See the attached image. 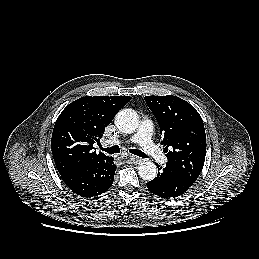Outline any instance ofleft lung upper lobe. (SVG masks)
I'll return each instance as SVG.
<instances>
[{"instance_id":"obj_1","label":"left lung upper lobe","mask_w":259,"mask_h":259,"mask_svg":"<svg viewBox=\"0 0 259 259\" xmlns=\"http://www.w3.org/2000/svg\"><path fill=\"white\" fill-rule=\"evenodd\" d=\"M144 99L163 135L161 144L165 146L167 165L194 183L206 155V134L200 114L177 96H146Z\"/></svg>"}]
</instances>
